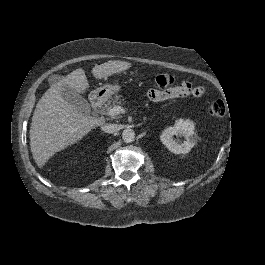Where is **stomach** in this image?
<instances>
[{"label": "stomach", "mask_w": 265, "mask_h": 265, "mask_svg": "<svg viewBox=\"0 0 265 265\" xmlns=\"http://www.w3.org/2000/svg\"><path fill=\"white\" fill-rule=\"evenodd\" d=\"M123 85L116 83V84H106L103 85L102 87L98 88L95 92L96 94L104 97H109L115 93H118L122 90Z\"/></svg>", "instance_id": "stomach-1"}]
</instances>
